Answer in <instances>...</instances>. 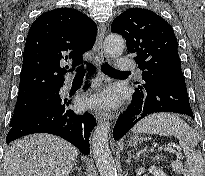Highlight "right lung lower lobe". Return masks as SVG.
<instances>
[{
	"label": "right lung lower lobe",
	"instance_id": "right-lung-lower-lobe-1",
	"mask_svg": "<svg viewBox=\"0 0 205 176\" xmlns=\"http://www.w3.org/2000/svg\"><path fill=\"white\" fill-rule=\"evenodd\" d=\"M89 69L94 70V66L91 65ZM69 104L70 100L61 98L58 91L11 127L7 144L28 134L49 133L66 139L83 154H89V136L96 125L95 118L89 113L75 114L67 109Z\"/></svg>",
	"mask_w": 205,
	"mask_h": 176
}]
</instances>
